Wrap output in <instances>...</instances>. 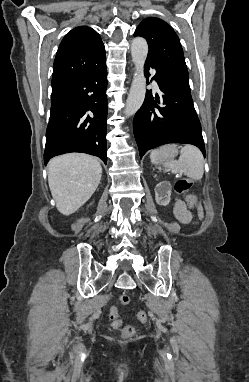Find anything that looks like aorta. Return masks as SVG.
Segmentation results:
<instances>
[{
  "mask_svg": "<svg viewBox=\"0 0 249 382\" xmlns=\"http://www.w3.org/2000/svg\"><path fill=\"white\" fill-rule=\"evenodd\" d=\"M147 54V41L142 37L134 38L131 43V56L135 65V73L124 110L126 116L134 115L145 99L146 79L144 76V64Z\"/></svg>",
  "mask_w": 249,
  "mask_h": 382,
  "instance_id": "1",
  "label": "aorta"
}]
</instances>
